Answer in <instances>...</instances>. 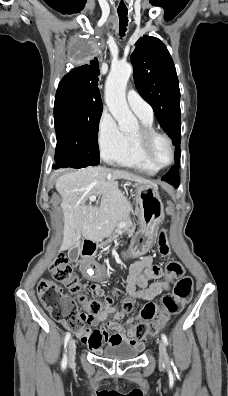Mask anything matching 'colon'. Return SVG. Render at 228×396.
Segmentation results:
<instances>
[{
  "label": "colon",
  "mask_w": 228,
  "mask_h": 396,
  "mask_svg": "<svg viewBox=\"0 0 228 396\" xmlns=\"http://www.w3.org/2000/svg\"><path fill=\"white\" fill-rule=\"evenodd\" d=\"M158 244L160 253L167 255L169 247L164 232H161ZM50 271L54 280L66 287L78 299L77 301L65 294L63 289L53 281L42 280L38 285L37 293L42 305L55 321L66 328L75 332L82 330L84 321L92 323L111 305V297L89 298L83 293L82 284L65 254L60 253L56 256L50 265ZM184 274V267L179 262L172 261L167 265L166 280L169 282L176 280L173 292L166 295L160 305L148 303L142 308L138 322L134 326L138 339L143 340L157 334L168 318L180 313L190 301L193 294V282L190 277ZM80 305L83 307V311H81ZM133 306L134 302L127 299L122 310L128 312L133 309ZM156 316L159 319L153 322L152 320Z\"/></svg>",
  "instance_id": "colon-1"
}]
</instances>
